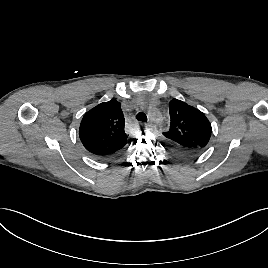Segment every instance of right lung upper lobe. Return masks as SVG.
Listing matches in <instances>:
<instances>
[{"mask_svg": "<svg viewBox=\"0 0 268 268\" xmlns=\"http://www.w3.org/2000/svg\"><path fill=\"white\" fill-rule=\"evenodd\" d=\"M125 119L115 99L85 113L79 128L83 146L97 157H111L126 145Z\"/></svg>", "mask_w": 268, "mask_h": 268, "instance_id": "1", "label": "right lung upper lobe"}]
</instances>
